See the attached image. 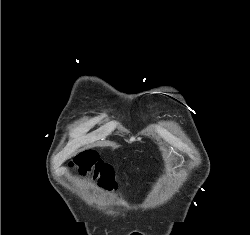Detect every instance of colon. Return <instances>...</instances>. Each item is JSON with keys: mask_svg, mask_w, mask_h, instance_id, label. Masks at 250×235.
<instances>
[{"mask_svg": "<svg viewBox=\"0 0 250 235\" xmlns=\"http://www.w3.org/2000/svg\"><path fill=\"white\" fill-rule=\"evenodd\" d=\"M80 175L93 174L103 185L113 187L115 185V174L113 168L100 161L94 153H82L76 156L71 163Z\"/></svg>", "mask_w": 250, "mask_h": 235, "instance_id": "obj_1", "label": "colon"}]
</instances>
